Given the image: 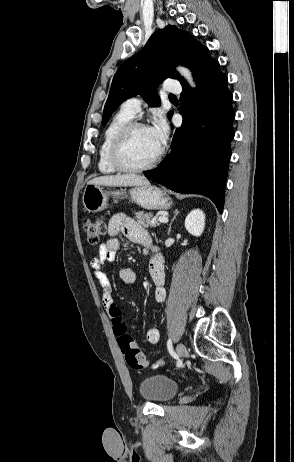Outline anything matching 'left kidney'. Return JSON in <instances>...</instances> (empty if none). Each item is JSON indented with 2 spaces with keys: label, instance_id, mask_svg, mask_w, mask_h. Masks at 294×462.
Wrapping results in <instances>:
<instances>
[{
  "label": "left kidney",
  "instance_id": "1",
  "mask_svg": "<svg viewBox=\"0 0 294 462\" xmlns=\"http://www.w3.org/2000/svg\"><path fill=\"white\" fill-rule=\"evenodd\" d=\"M185 228L193 236L199 237L205 228V214L200 209L192 210L185 219Z\"/></svg>",
  "mask_w": 294,
  "mask_h": 462
}]
</instances>
